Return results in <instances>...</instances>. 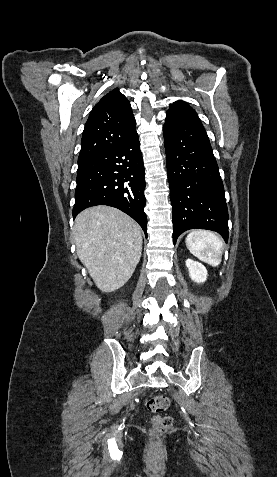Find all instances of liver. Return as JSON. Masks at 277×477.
Returning a JSON list of instances; mask_svg holds the SVG:
<instances>
[{"mask_svg":"<svg viewBox=\"0 0 277 477\" xmlns=\"http://www.w3.org/2000/svg\"><path fill=\"white\" fill-rule=\"evenodd\" d=\"M73 235L80 261L102 292H113L131 278L142 235L128 215L110 206L88 208L76 217Z\"/></svg>","mask_w":277,"mask_h":477,"instance_id":"1","label":"liver"}]
</instances>
